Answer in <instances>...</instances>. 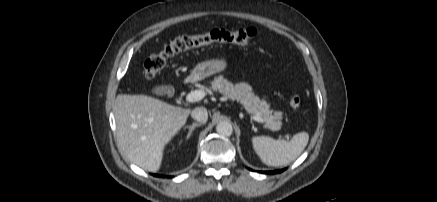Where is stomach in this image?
Instances as JSON below:
<instances>
[{
    "instance_id": "obj_1",
    "label": "stomach",
    "mask_w": 437,
    "mask_h": 202,
    "mask_svg": "<svg viewBox=\"0 0 437 202\" xmlns=\"http://www.w3.org/2000/svg\"><path fill=\"white\" fill-rule=\"evenodd\" d=\"M226 67L227 63L224 58L207 60L197 64L193 68L190 78L195 81L202 80L213 74L224 71Z\"/></svg>"
}]
</instances>
